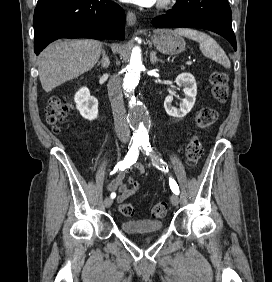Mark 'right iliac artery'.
<instances>
[{
	"label": "right iliac artery",
	"instance_id": "1",
	"mask_svg": "<svg viewBox=\"0 0 272 282\" xmlns=\"http://www.w3.org/2000/svg\"><path fill=\"white\" fill-rule=\"evenodd\" d=\"M139 146H140V143L138 141L130 142L129 151H128L126 157L124 158V160L122 162H119L115 166V168L111 172V174L115 173L118 169L124 170L126 168H129L133 163H135L136 160H137L138 154H139ZM110 197L112 199H114L116 197V194L111 193Z\"/></svg>",
	"mask_w": 272,
	"mask_h": 282
}]
</instances>
